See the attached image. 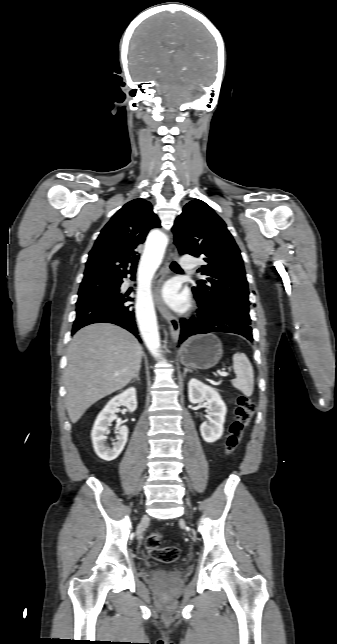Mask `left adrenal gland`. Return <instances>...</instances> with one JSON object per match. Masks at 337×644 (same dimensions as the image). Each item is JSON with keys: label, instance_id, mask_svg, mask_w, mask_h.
<instances>
[{"label": "left adrenal gland", "instance_id": "1", "mask_svg": "<svg viewBox=\"0 0 337 644\" xmlns=\"http://www.w3.org/2000/svg\"><path fill=\"white\" fill-rule=\"evenodd\" d=\"M187 372H190V373H191L192 371H191V370H189V369H187V368H186V369H184L183 377H185V376H186Z\"/></svg>", "mask_w": 337, "mask_h": 644}]
</instances>
